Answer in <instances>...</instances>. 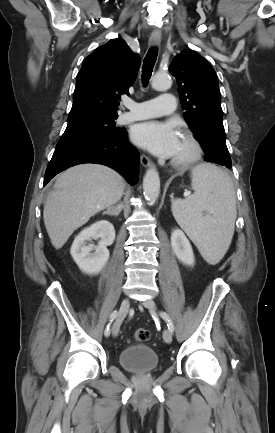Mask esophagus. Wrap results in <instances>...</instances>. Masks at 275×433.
Returning <instances> with one entry per match:
<instances>
[{
  "instance_id": "obj_1",
  "label": "esophagus",
  "mask_w": 275,
  "mask_h": 433,
  "mask_svg": "<svg viewBox=\"0 0 275 433\" xmlns=\"http://www.w3.org/2000/svg\"><path fill=\"white\" fill-rule=\"evenodd\" d=\"M160 43L161 34L158 32H153L149 38V46L158 47ZM140 161L144 167H154V163L152 162V160L144 154L140 156Z\"/></svg>"
}]
</instances>
